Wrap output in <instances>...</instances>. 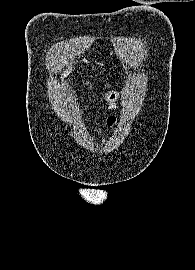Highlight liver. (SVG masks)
Segmentation results:
<instances>
[{
	"label": "liver",
	"mask_w": 195,
	"mask_h": 270,
	"mask_svg": "<svg viewBox=\"0 0 195 270\" xmlns=\"http://www.w3.org/2000/svg\"><path fill=\"white\" fill-rule=\"evenodd\" d=\"M71 73V69L68 67V69H66L64 72H63V74H62V77L61 78H63V77H67L69 74Z\"/></svg>",
	"instance_id": "liver-1"
}]
</instances>
